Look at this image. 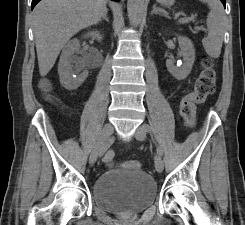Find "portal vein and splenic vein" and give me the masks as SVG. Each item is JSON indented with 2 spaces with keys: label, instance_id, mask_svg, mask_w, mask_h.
<instances>
[{
  "label": "portal vein and splenic vein",
  "instance_id": "1",
  "mask_svg": "<svg viewBox=\"0 0 245 225\" xmlns=\"http://www.w3.org/2000/svg\"><path fill=\"white\" fill-rule=\"evenodd\" d=\"M178 16L176 15V18H177ZM188 21H194V17H183V18H180L179 19V22L180 23H186V22H188ZM199 30H204V28H202V27H199L198 28Z\"/></svg>",
  "mask_w": 245,
  "mask_h": 225
}]
</instances>
